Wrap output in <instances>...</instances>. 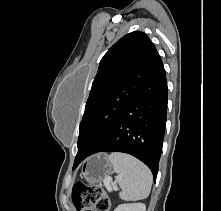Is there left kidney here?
I'll return each instance as SVG.
<instances>
[{"label": "left kidney", "mask_w": 221, "mask_h": 211, "mask_svg": "<svg viewBox=\"0 0 221 211\" xmlns=\"http://www.w3.org/2000/svg\"><path fill=\"white\" fill-rule=\"evenodd\" d=\"M114 211H146V206L142 203L121 204Z\"/></svg>", "instance_id": "1"}]
</instances>
